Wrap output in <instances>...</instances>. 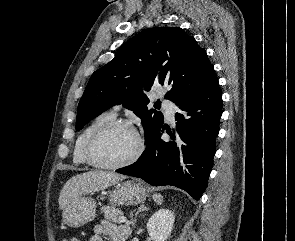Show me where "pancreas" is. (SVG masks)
Listing matches in <instances>:
<instances>
[{
	"instance_id": "pancreas-1",
	"label": "pancreas",
	"mask_w": 295,
	"mask_h": 241,
	"mask_svg": "<svg viewBox=\"0 0 295 241\" xmlns=\"http://www.w3.org/2000/svg\"><path fill=\"white\" fill-rule=\"evenodd\" d=\"M101 210L104 213L105 219L112 221L114 223H120L119 217L123 215V212L120 209L112 205L104 206Z\"/></svg>"
}]
</instances>
